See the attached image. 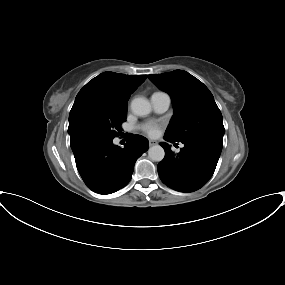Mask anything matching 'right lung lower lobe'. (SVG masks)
<instances>
[{
	"label": "right lung lower lobe",
	"mask_w": 285,
	"mask_h": 285,
	"mask_svg": "<svg viewBox=\"0 0 285 285\" xmlns=\"http://www.w3.org/2000/svg\"><path fill=\"white\" fill-rule=\"evenodd\" d=\"M71 148L87 187L99 194H110L128 184L135 161L148 150V140L131 135L124 148L112 140H85Z\"/></svg>",
	"instance_id": "1"
}]
</instances>
